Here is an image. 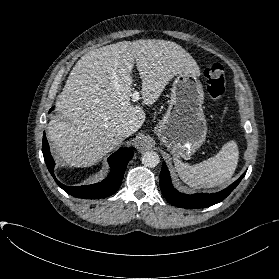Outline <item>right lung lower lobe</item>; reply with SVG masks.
Segmentation results:
<instances>
[{"mask_svg":"<svg viewBox=\"0 0 279 279\" xmlns=\"http://www.w3.org/2000/svg\"><path fill=\"white\" fill-rule=\"evenodd\" d=\"M52 110L51 108L50 112ZM42 152L47 168L57 184L71 196L84 199H100L114 194L119 189L127 164L133 157L131 149L121 148L108 158L111 173L106 179L92 185L71 187L60 183L54 176L55 162L50 154L45 133L43 134Z\"/></svg>","mask_w":279,"mask_h":279,"instance_id":"1","label":"right lung lower lobe"}]
</instances>
